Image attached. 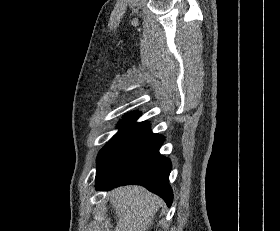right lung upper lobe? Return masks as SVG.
<instances>
[{"label": "right lung upper lobe", "mask_w": 280, "mask_h": 231, "mask_svg": "<svg viewBox=\"0 0 280 231\" xmlns=\"http://www.w3.org/2000/svg\"><path fill=\"white\" fill-rule=\"evenodd\" d=\"M138 116H139L138 112H135V113L131 112L130 114L123 117L124 120H122L121 122H127V123H130L135 126L134 122L136 121ZM144 123H147V121L137 123L136 125H140V124H144Z\"/></svg>", "instance_id": "right-lung-upper-lobe-1"}]
</instances>
